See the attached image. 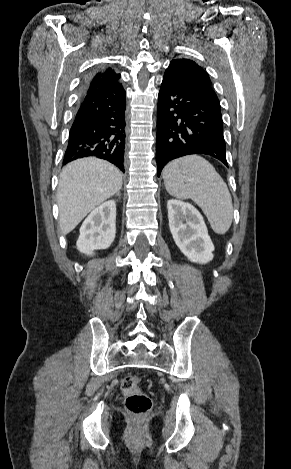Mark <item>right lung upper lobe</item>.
Wrapping results in <instances>:
<instances>
[{
	"instance_id": "cb5924a9",
	"label": "right lung upper lobe",
	"mask_w": 291,
	"mask_h": 469,
	"mask_svg": "<svg viewBox=\"0 0 291 469\" xmlns=\"http://www.w3.org/2000/svg\"><path fill=\"white\" fill-rule=\"evenodd\" d=\"M120 74H116L111 68L99 70L88 78L84 92L93 91L102 88L122 87L119 83Z\"/></svg>"
}]
</instances>
